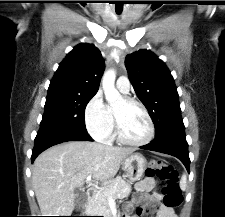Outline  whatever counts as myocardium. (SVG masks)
<instances>
[{"mask_svg": "<svg viewBox=\"0 0 225 217\" xmlns=\"http://www.w3.org/2000/svg\"><path fill=\"white\" fill-rule=\"evenodd\" d=\"M123 100L127 104H132V105L138 106L142 110V112L144 113V115L147 119V122H148V134H147L146 138L141 141H131V140L127 139L122 132L121 125H120L119 119L117 117V114L113 110V116H114V120H115V128H116V134H117L118 140L125 145H129V146H133V147H141V146L147 145L148 143H150L152 141L154 134H155L154 123H153V120L151 118L149 111L147 110L145 105L142 102L138 101L137 99L126 96V97H123Z\"/></svg>", "mask_w": 225, "mask_h": 217, "instance_id": "f54148a6", "label": "myocardium"}]
</instances>
